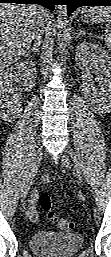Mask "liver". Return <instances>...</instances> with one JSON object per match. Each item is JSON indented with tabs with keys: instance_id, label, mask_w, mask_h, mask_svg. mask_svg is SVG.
<instances>
[{
	"instance_id": "1",
	"label": "liver",
	"mask_w": 111,
	"mask_h": 257,
	"mask_svg": "<svg viewBox=\"0 0 111 257\" xmlns=\"http://www.w3.org/2000/svg\"><path fill=\"white\" fill-rule=\"evenodd\" d=\"M48 12L36 5H0V64L5 68L24 55L39 26L47 23Z\"/></svg>"
}]
</instances>
